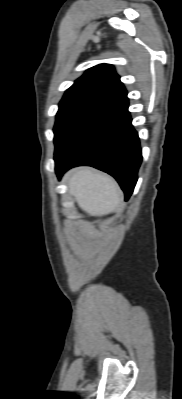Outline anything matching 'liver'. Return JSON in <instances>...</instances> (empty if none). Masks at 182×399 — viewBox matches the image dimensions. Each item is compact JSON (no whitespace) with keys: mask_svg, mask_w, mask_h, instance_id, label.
Returning a JSON list of instances; mask_svg holds the SVG:
<instances>
[{"mask_svg":"<svg viewBox=\"0 0 182 399\" xmlns=\"http://www.w3.org/2000/svg\"><path fill=\"white\" fill-rule=\"evenodd\" d=\"M68 187L78 206L89 214H107L122 200L116 181L90 168L73 172L68 178Z\"/></svg>","mask_w":182,"mask_h":399,"instance_id":"obj_1","label":"liver"}]
</instances>
